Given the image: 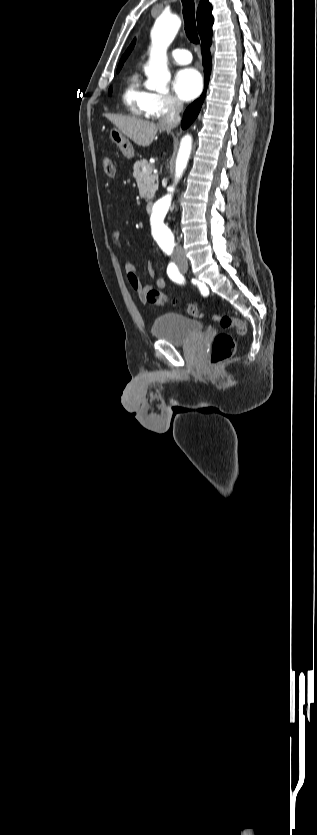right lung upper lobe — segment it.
I'll list each match as a JSON object with an SVG mask.
<instances>
[{"label": "right lung upper lobe", "instance_id": "obj_1", "mask_svg": "<svg viewBox=\"0 0 317 835\" xmlns=\"http://www.w3.org/2000/svg\"><path fill=\"white\" fill-rule=\"evenodd\" d=\"M212 5L209 3L208 0H201L199 3V7L197 10V25L198 31L201 37V40H204L208 36L212 34V25L214 22L213 16L211 15ZM135 45V39L126 50L124 55L122 56L119 65L123 64L130 52L132 51Z\"/></svg>", "mask_w": 317, "mask_h": 835}]
</instances>
